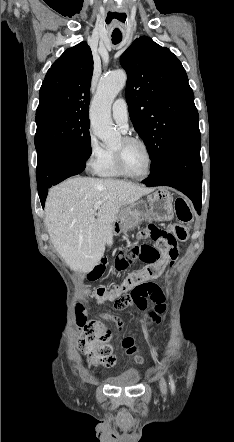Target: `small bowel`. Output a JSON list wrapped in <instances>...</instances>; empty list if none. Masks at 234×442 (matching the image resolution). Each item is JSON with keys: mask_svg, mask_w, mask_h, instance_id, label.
<instances>
[{"mask_svg": "<svg viewBox=\"0 0 234 442\" xmlns=\"http://www.w3.org/2000/svg\"><path fill=\"white\" fill-rule=\"evenodd\" d=\"M141 236H142L143 238H148V237H150L149 234H147L145 231L142 232ZM180 252H181V248H180L179 246L175 245L170 253L162 254V255L158 258V263L161 264L163 267L166 266V265H168V264H169V265H172V264L176 261V259H177V257H178V255H179ZM147 285H148L149 287H153V288H157V289H159L155 284L148 283ZM130 288H131V287H130ZM159 290H160V289H159ZM112 320H117V317H112ZM152 320H153L152 322H151V321H147V322H146V325H147V326H151V325H152V326H155V325H156V326H159L160 323L163 322L164 317H163V315H161V314H155V315H153ZM91 325H92V326H95V325H96V322H95V321H92V322H91ZM115 325H116L117 327H122V326L124 325V322H123L122 320H117V321L115 322ZM135 325H136V326H139V325H140V322H139V321H136V322H135ZM100 328H101V329H104V328H105V325H104V324H101V325H100ZM119 331H122V328H119ZM134 331H135V328H134L133 326H130V327L128 328V331H124V334H129V332H130V333H133ZM127 341H128V342H125V343H124V348L126 349L127 354H129V355L135 354V353L137 352V347H136L133 343H135V342L137 341V338H136L135 336H129V337L127 338Z\"/></svg>", "mask_w": 234, "mask_h": 442, "instance_id": "small-bowel-1", "label": "small bowel"}]
</instances>
